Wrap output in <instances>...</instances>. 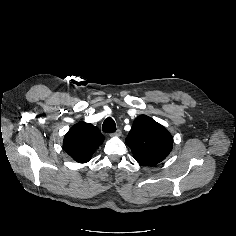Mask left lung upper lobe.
Segmentation results:
<instances>
[{
  "instance_id": "left-lung-upper-lobe-1",
  "label": "left lung upper lobe",
  "mask_w": 236,
  "mask_h": 236,
  "mask_svg": "<svg viewBox=\"0 0 236 236\" xmlns=\"http://www.w3.org/2000/svg\"><path fill=\"white\" fill-rule=\"evenodd\" d=\"M125 141L135 160L145 166L163 161L173 147V138L167 129L146 115L135 119Z\"/></svg>"
}]
</instances>
